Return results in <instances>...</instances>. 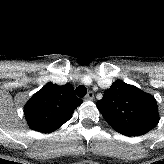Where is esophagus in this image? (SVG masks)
<instances>
[{"mask_svg":"<svg viewBox=\"0 0 164 164\" xmlns=\"http://www.w3.org/2000/svg\"><path fill=\"white\" fill-rule=\"evenodd\" d=\"M94 99V93L92 91H89L85 97V100H93Z\"/></svg>","mask_w":164,"mask_h":164,"instance_id":"1","label":"esophagus"}]
</instances>
